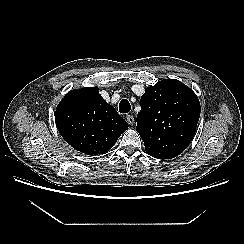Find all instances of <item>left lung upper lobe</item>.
Here are the masks:
<instances>
[{
    "mask_svg": "<svg viewBox=\"0 0 244 244\" xmlns=\"http://www.w3.org/2000/svg\"><path fill=\"white\" fill-rule=\"evenodd\" d=\"M199 117L200 102L193 90L176 79H165L145 89L136 130L150 156L171 159L188 147Z\"/></svg>",
    "mask_w": 244,
    "mask_h": 244,
    "instance_id": "obj_1",
    "label": "left lung upper lobe"
}]
</instances>
